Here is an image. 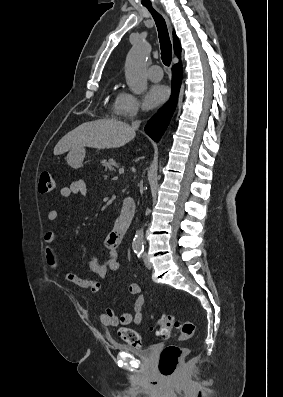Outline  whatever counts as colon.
Segmentation results:
<instances>
[{"instance_id":"colon-1","label":"colon","mask_w":283,"mask_h":397,"mask_svg":"<svg viewBox=\"0 0 283 397\" xmlns=\"http://www.w3.org/2000/svg\"><path fill=\"white\" fill-rule=\"evenodd\" d=\"M38 190L42 194H50L55 190V182L52 174L44 170L39 176ZM178 329V337L180 339H189L194 335L195 325L192 322H175L172 316H163L156 322V333L162 338H167L173 327ZM119 337L126 343L133 346H140L141 339L139 334L129 328H120L118 330ZM189 350L175 344L165 346L160 354L159 370L164 377H172L175 375L182 363L184 357Z\"/></svg>"}]
</instances>
